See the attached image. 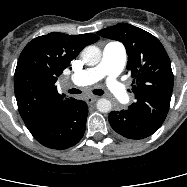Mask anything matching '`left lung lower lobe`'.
Returning a JSON list of instances; mask_svg holds the SVG:
<instances>
[{"label": "left lung lower lobe", "instance_id": "1", "mask_svg": "<svg viewBox=\"0 0 187 187\" xmlns=\"http://www.w3.org/2000/svg\"><path fill=\"white\" fill-rule=\"evenodd\" d=\"M109 122L118 134L136 140L146 138L160 128V126L137 116L129 110L110 112Z\"/></svg>", "mask_w": 187, "mask_h": 187}]
</instances>
